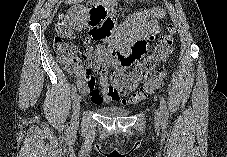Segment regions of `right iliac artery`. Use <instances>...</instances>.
I'll return each mask as SVG.
<instances>
[{
    "mask_svg": "<svg viewBox=\"0 0 227 157\" xmlns=\"http://www.w3.org/2000/svg\"><path fill=\"white\" fill-rule=\"evenodd\" d=\"M71 93H72V97H75V95L77 94V88H76V86H73Z\"/></svg>",
    "mask_w": 227,
    "mask_h": 157,
    "instance_id": "obj_1",
    "label": "right iliac artery"
}]
</instances>
